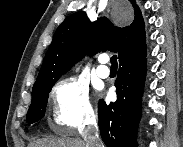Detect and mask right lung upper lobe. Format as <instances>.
Masks as SVG:
<instances>
[{"instance_id":"1","label":"right lung upper lobe","mask_w":183,"mask_h":147,"mask_svg":"<svg viewBox=\"0 0 183 147\" xmlns=\"http://www.w3.org/2000/svg\"><path fill=\"white\" fill-rule=\"evenodd\" d=\"M131 3L135 18L125 27H116L105 17L91 23L85 12L65 19L55 32L32 91L55 83L85 54L109 50L117 52L120 61L144 51V21L135 1Z\"/></svg>"}]
</instances>
